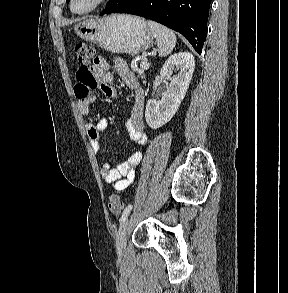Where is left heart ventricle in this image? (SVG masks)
<instances>
[{
  "mask_svg": "<svg viewBox=\"0 0 288 293\" xmlns=\"http://www.w3.org/2000/svg\"><path fill=\"white\" fill-rule=\"evenodd\" d=\"M94 0H76L74 3V8L77 10L84 9L88 7Z\"/></svg>",
  "mask_w": 288,
  "mask_h": 293,
  "instance_id": "b2bd125f",
  "label": "left heart ventricle"
}]
</instances>
